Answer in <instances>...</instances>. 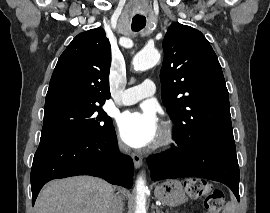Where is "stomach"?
Wrapping results in <instances>:
<instances>
[{"instance_id":"1","label":"stomach","mask_w":270,"mask_h":213,"mask_svg":"<svg viewBox=\"0 0 270 213\" xmlns=\"http://www.w3.org/2000/svg\"><path fill=\"white\" fill-rule=\"evenodd\" d=\"M154 194L163 204L171 207L182 204L186 199L182 184L178 180L162 182L155 187Z\"/></svg>"}]
</instances>
